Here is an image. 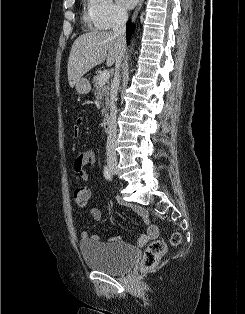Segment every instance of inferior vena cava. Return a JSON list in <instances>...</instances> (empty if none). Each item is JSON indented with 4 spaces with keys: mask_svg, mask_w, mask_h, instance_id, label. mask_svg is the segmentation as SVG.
Listing matches in <instances>:
<instances>
[{
    "mask_svg": "<svg viewBox=\"0 0 245 314\" xmlns=\"http://www.w3.org/2000/svg\"><path fill=\"white\" fill-rule=\"evenodd\" d=\"M128 20V14L125 10H119L115 16V26L113 28V34L120 43V55L115 65V76L111 87V102H110V121L106 145L107 161L117 162L116 154V136H117V124H116V105L117 93L120 84V66L122 58L126 51V22Z\"/></svg>",
    "mask_w": 245,
    "mask_h": 314,
    "instance_id": "602c4592",
    "label": "inferior vena cava"
}]
</instances>
